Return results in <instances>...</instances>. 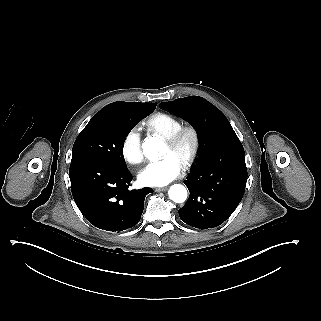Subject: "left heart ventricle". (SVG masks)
I'll return each mask as SVG.
<instances>
[{"label":"left heart ventricle","mask_w":321,"mask_h":321,"mask_svg":"<svg viewBox=\"0 0 321 321\" xmlns=\"http://www.w3.org/2000/svg\"><path fill=\"white\" fill-rule=\"evenodd\" d=\"M171 153H174L171 148L165 143V155H168V154H171ZM176 156H178V158L182 161V158L180 155L174 153Z\"/></svg>","instance_id":"b2bd125f"}]
</instances>
